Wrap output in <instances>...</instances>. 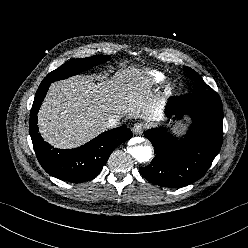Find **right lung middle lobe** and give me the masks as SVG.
Returning a JSON list of instances; mask_svg holds the SVG:
<instances>
[{"label":"right lung middle lobe","instance_id":"right-lung-middle-lobe-1","mask_svg":"<svg viewBox=\"0 0 248 248\" xmlns=\"http://www.w3.org/2000/svg\"><path fill=\"white\" fill-rule=\"evenodd\" d=\"M110 58V56L106 55H95L92 57L71 60L49 73L42 82L52 83L57 80L68 78L80 72L86 71L93 66L106 62L110 60Z\"/></svg>","mask_w":248,"mask_h":248}]
</instances>
